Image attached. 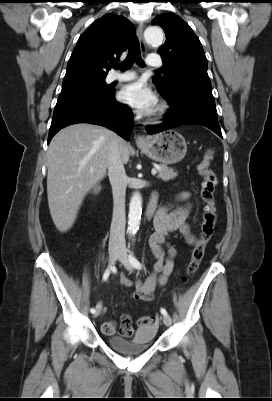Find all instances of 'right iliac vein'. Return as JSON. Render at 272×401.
<instances>
[{
	"mask_svg": "<svg viewBox=\"0 0 272 401\" xmlns=\"http://www.w3.org/2000/svg\"><path fill=\"white\" fill-rule=\"evenodd\" d=\"M120 250L118 246H112L109 248V264L113 265L119 256ZM100 309L96 307V311L93 313L94 316H98Z\"/></svg>",
	"mask_w": 272,
	"mask_h": 401,
	"instance_id": "obj_1",
	"label": "right iliac vein"
}]
</instances>
